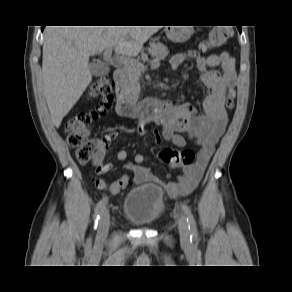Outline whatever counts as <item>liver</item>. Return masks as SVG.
I'll list each match as a JSON object with an SVG mask.
<instances>
[{"label": "liver", "mask_w": 292, "mask_h": 292, "mask_svg": "<svg viewBox=\"0 0 292 292\" xmlns=\"http://www.w3.org/2000/svg\"><path fill=\"white\" fill-rule=\"evenodd\" d=\"M160 26H47L42 77L47 106L58 128L92 81L89 57L107 48L134 57Z\"/></svg>", "instance_id": "obj_1"}]
</instances>
